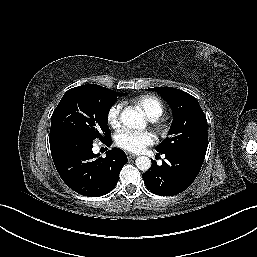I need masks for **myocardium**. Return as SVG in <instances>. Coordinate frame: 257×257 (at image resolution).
<instances>
[{
    "mask_svg": "<svg viewBox=\"0 0 257 257\" xmlns=\"http://www.w3.org/2000/svg\"><path fill=\"white\" fill-rule=\"evenodd\" d=\"M154 122L159 128H164L166 126L164 119L162 117L157 118L156 120H154Z\"/></svg>",
    "mask_w": 257,
    "mask_h": 257,
    "instance_id": "f54148a6",
    "label": "myocardium"
}]
</instances>
